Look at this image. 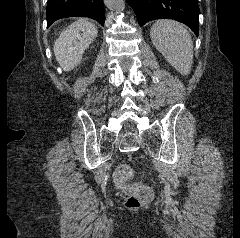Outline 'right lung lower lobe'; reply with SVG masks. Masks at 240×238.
Masks as SVG:
<instances>
[{
	"mask_svg": "<svg viewBox=\"0 0 240 238\" xmlns=\"http://www.w3.org/2000/svg\"><path fill=\"white\" fill-rule=\"evenodd\" d=\"M66 17H89L101 25L105 22L102 0H48L46 9L47 26Z\"/></svg>",
	"mask_w": 240,
	"mask_h": 238,
	"instance_id": "98d812e1",
	"label": "right lung lower lobe"
}]
</instances>
